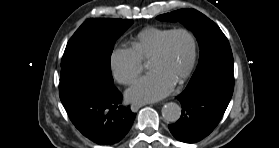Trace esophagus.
Segmentation results:
<instances>
[{
	"label": "esophagus",
	"mask_w": 279,
	"mask_h": 148,
	"mask_svg": "<svg viewBox=\"0 0 279 148\" xmlns=\"http://www.w3.org/2000/svg\"><path fill=\"white\" fill-rule=\"evenodd\" d=\"M145 105V103H136L131 105L132 111H137L141 106Z\"/></svg>",
	"instance_id": "1"
}]
</instances>
